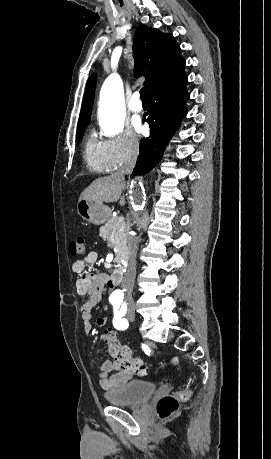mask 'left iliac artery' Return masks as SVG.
<instances>
[{
	"mask_svg": "<svg viewBox=\"0 0 271 459\" xmlns=\"http://www.w3.org/2000/svg\"><path fill=\"white\" fill-rule=\"evenodd\" d=\"M114 318H113V325L116 329L118 330H125L128 328L129 324L128 321L125 318H121L122 316L126 315V306L125 307H118L117 305H114Z\"/></svg>",
	"mask_w": 271,
	"mask_h": 459,
	"instance_id": "1",
	"label": "left iliac artery"
}]
</instances>
